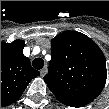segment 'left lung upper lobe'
<instances>
[{
	"label": "left lung upper lobe",
	"mask_w": 109,
	"mask_h": 109,
	"mask_svg": "<svg viewBox=\"0 0 109 109\" xmlns=\"http://www.w3.org/2000/svg\"><path fill=\"white\" fill-rule=\"evenodd\" d=\"M52 59L44 77L56 98L81 107L94 100L104 88L107 69L103 52L86 35L65 31L51 41Z\"/></svg>",
	"instance_id": "5c2ea615"
}]
</instances>
